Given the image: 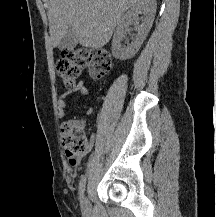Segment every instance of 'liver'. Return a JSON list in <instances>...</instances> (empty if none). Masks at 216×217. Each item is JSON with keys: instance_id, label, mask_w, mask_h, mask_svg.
<instances>
[{"instance_id": "6515ba94", "label": "liver", "mask_w": 216, "mask_h": 217, "mask_svg": "<svg viewBox=\"0 0 216 217\" xmlns=\"http://www.w3.org/2000/svg\"><path fill=\"white\" fill-rule=\"evenodd\" d=\"M139 0H50L49 28L53 46L69 27L80 45L100 49L106 45L124 12Z\"/></svg>"}]
</instances>
